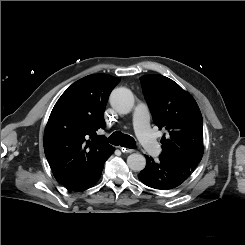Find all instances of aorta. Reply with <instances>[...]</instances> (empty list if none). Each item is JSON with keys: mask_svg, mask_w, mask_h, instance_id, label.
Segmentation results:
<instances>
[{"mask_svg": "<svg viewBox=\"0 0 245 245\" xmlns=\"http://www.w3.org/2000/svg\"><path fill=\"white\" fill-rule=\"evenodd\" d=\"M111 106L120 114H128L134 105V96L127 88L114 89L110 95ZM127 165L133 171H141L146 166V159L139 153H133L127 158Z\"/></svg>", "mask_w": 245, "mask_h": 245, "instance_id": "1", "label": "aorta"}]
</instances>
